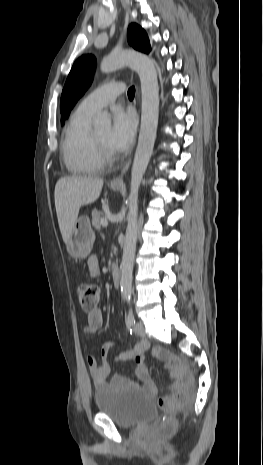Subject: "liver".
<instances>
[{"mask_svg":"<svg viewBox=\"0 0 263 465\" xmlns=\"http://www.w3.org/2000/svg\"><path fill=\"white\" fill-rule=\"evenodd\" d=\"M103 179L70 176L60 178L55 185V207L63 241L68 242L82 206L95 202L101 193Z\"/></svg>","mask_w":263,"mask_h":465,"instance_id":"obj_1","label":"liver"}]
</instances>
